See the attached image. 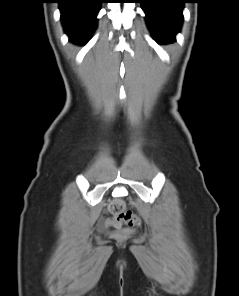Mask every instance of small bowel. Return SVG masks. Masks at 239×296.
<instances>
[{
	"label": "small bowel",
	"instance_id": "obj_1",
	"mask_svg": "<svg viewBox=\"0 0 239 296\" xmlns=\"http://www.w3.org/2000/svg\"><path fill=\"white\" fill-rule=\"evenodd\" d=\"M108 223H109L110 225H114L113 221H109Z\"/></svg>",
	"mask_w": 239,
	"mask_h": 296
}]
</instances>
